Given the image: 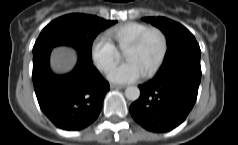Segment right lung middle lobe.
I'll use <instances>...</instances> for the list:
<instances>
[{"mask_svg": "<svg viewBox=\"0 0 238 145\" xmlns=\"http://www.w3.org/2000/svg\"><path fill=\"white\" fill-rule=\"evenodd\" d=\"M116 22L78 13L61 16L42 30L33 47V53L45 48L67 45L92 58V42L102 30Z\"/></svg>", "mask_w": 238, "mask_h": 145, "instance_id": "1", "label": "right lung middle lobe"}]
</instances>
